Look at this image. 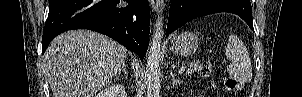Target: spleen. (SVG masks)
<instances>
[{
    "label": "spleen",
    "mask_w": 302,
    "mask_h": 97,
    "mask_svg": "<svg viewBox=\"0 0 302 97\" xmlns=\"http://www.w3.org/2000/svg\"><path fill=\"white\" fill-rule=\"evenodd\" d=\"M226 57L231 62L227 67L228 73L239 81L250 82L252 68L249 54L244 43L235 35L228 37Z\"/></svg>",
    "instance_id": "1"
}]
</instances>
